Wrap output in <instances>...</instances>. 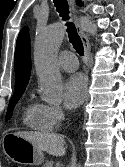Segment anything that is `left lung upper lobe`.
<instances>
[{
  "label": "left lung upper lobe",
  "mask_w": 125,
  "mask_h": 167,
  "mask_svg": "<svg viewBox=\"0 0 125 167\" xmlns=\"http://www.w3.org/2000/svg\"><path fill=\"white\" fill-rule=\"evenodd\" d=\"M77 3H78V5H81V2L79 0H77Z\"/></svg>",
  "instance_id": "1"
}]
</instances>
